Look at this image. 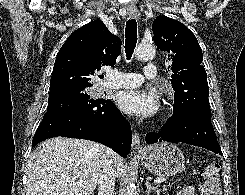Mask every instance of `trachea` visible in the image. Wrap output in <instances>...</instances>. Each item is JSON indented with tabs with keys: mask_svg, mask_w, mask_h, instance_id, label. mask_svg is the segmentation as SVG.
I'll return each instance as SVG.
<instances>
[{
	"mask_svg": "<svg viewBox=\"0 0 245 195\" xmlns=\"http://www.w3.org/2000/svg\"><path fill=\"white\" fill-rule=\"evenodd\" d=\"M125 53L127 60L131 59L137 43V22L129 19L125 28Z\"/></svg>",
	"mask_w": 245,
	"mask_h": 195,
	"instance_id": "1",
	"label": "trachea"
}]
</instances>
